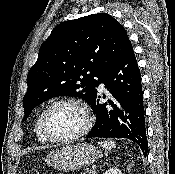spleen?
<instances>
[{
  "label": "spleen",
  "instance_id": "3e777b00",
  "mask_svg": "<svg viewBox=\"0 0 175 174\" xmlns=\"http://www.w3.org/2000/svg\"><path fill=\"white\" fill-rule=\"evenodd\" d=\"M98 144L107 151H111L112 149H114L116 147L115 142L112 140L101 141V142H98Z\"/></svg>",
  "mask_w": 175,
  "mask_h": 174
}]
</instances>
